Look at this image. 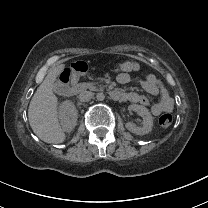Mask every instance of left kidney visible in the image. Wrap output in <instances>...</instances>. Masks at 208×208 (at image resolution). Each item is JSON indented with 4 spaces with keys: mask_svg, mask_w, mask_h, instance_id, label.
Instances as JSON below:
<instances>
[{
    "mask_svg": "<svg viewBox=\"0 0 208 208\" xmlns=\"http://www.w3.org/2000/svg\"><path fill=\"white\" fill-rule=\"evenodd\" d=\"M128 110L138 111L143 117V124L141 126H136L128 122L126 123L125 128L136 135H145L149 133L153 126V118L149 113V110L145 106L138 104L129 105Z\"/></svg>",
    "mask_w": 208,
    "mask_h": 208,
    "instance_id": "left-kidney-1",
    "label": "left kidney"
}]
</instances>
